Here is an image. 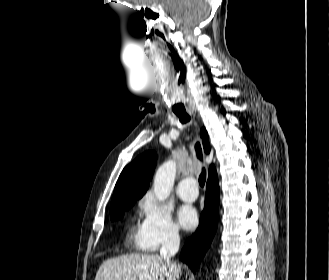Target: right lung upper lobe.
<instances>
[{
  "label": "right lung upper lobe",
  "instance_id": "right-lung-upper-lobe-1",
  "mask_svg": "<svg viewBox=\"0 0 329 280\" xmlns=\"http://www.w3.org/2000/svg\"><path fill=\"white\" fill-rule=\"evenodd\" d=\"M201 138L206 153L209 152L208 134L205 129L201 130ZM157 155L148 151L138 156L131 164L127 165L119 176L111 201V208L124 200L141 198L149 186L153 176ZM216 172L213 165L210 166L209 176ZM208 176V177H209Z\"/></svg>",
  "mask_w": 329,
  "mask_h": 280
}]
</instances>
